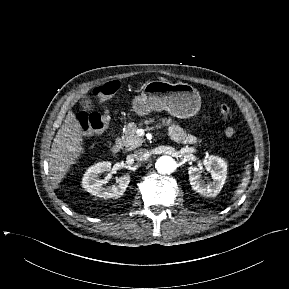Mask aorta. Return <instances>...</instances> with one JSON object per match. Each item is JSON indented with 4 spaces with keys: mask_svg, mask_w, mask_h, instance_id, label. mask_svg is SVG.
<instances>
[{
    "mask_svg": "<svg viewBox=\"0 0 289 289\" xmlns=\"http://www.w3.org/2000/svg\"><path fill=\"white\" fill-rule=\"evenodd\" d=\"M177 167L175 160L170 156H161L155 164V168L160 174H170Z\"/></svg>",
    "mask_w": 289,
    "mask_h": 289,
    "instance_id": "762f6f07",
    "label": "aorta"
}]
</instances>
